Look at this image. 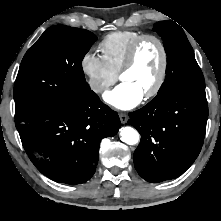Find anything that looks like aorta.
Instances as JSON below:
<instances>
[{
    "mask_svg": "<svg viewBox=\"0 0 221 221\" xmlns=\"http://www.w3.org/2000/svg\"><path fill=\"white\" fill-rule=\"evenodd\" d=\"M119 134L120 139L128 145H135L139 142V133L132 127H122Z\"/></svg>",
    "mask_w": 221,
    "mask_h": 221,
    "instance_id": "1",
    "label": "aorta"
}]
</instances>
